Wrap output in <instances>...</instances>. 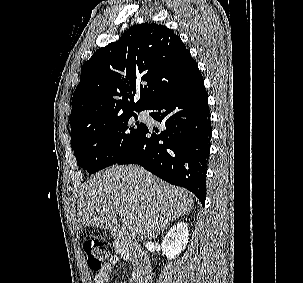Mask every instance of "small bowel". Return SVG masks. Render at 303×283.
<instances>
[{
	"label": "small bowel",
	"mask_w": 303,
	"mask_h": 283,
	"mask_svg": "<svg viewBox=\"0 0 303 283\" xmlns=\"http://www.w3.org/2000/svg\"><path fill=\"white\" fill-rule=\"evenodd\" d=\"M119 262V258L117 256H112L110 259L104 264L102 270H100L94 277V283H107L110 279L109 272L112 267Z\"/></svg>",
	"instance_id": "c3829d8e"
}]
</instances>
